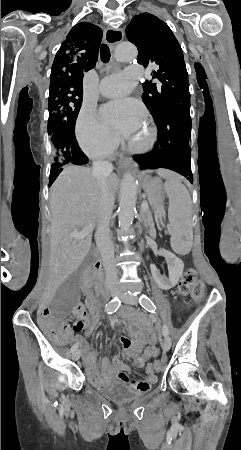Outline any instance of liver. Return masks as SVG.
Segmentation results:
<instances>
[{"mask_svg":"<svg viewBox=\"0 0 241 450\" xmlns=\"http://www.w3.org/2000/svg\"><path fill=\"white\" fill-rule=\"evenodd\" d=\"M152 172V170H149ZM181 180L180 176L170 172ZM109 192L114 198L119 180L116 174L107 178ZM102 196L98 180L92 176L91 168L66 166L50 188L51 234L50 260L45 296L52 298L57 288L73 274L90 246L92 232L83 238H71L72 232L84 228H95L102 220Z\"/></svg>","mask_w":241,"mask_h":450,"instance_id":"liver-1","label":"liver"}]
</instances>
